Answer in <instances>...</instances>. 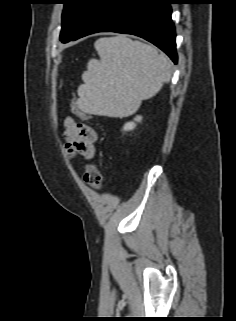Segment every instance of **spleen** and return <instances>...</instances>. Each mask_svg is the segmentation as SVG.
Listing matches in <instances>:
<instances>
[{
  "label": "spleen",
  "mask_w": 236,
  "mask_h": 321,
  "mask_svg": "<svg viewBox=\"0 0 236 321\" xmlns=\"http://www.w3.org/2000/svg\"><path fill=\"white\" fill-rule=\"evenodd\" d=\"M100 60L88 62L78 88L85 113L125 117L153 97L171 79V62L153 46L119 35L95 42Z\"/></svg>",
  "instance_id": "obj_1"
}]
</instances>
